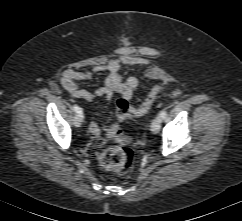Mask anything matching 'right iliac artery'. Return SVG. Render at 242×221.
<instances>
[{"mask_svg": "<svg viewBox=\"0 0 242 221\" xmlns=\"http://www.w3.org/2000/svg\"><path fill=\"white\" fill-rule=\"evenodd\" d=\"M73 110L77 113V114H79V116H81V118H83V113H82V109L79 107V106H77V105H73Z\"/></svg>", "mask_w": 242, "mask_h": 221, "instance_id": "right-iliac-artery-1", "label": "right iliac artery"}]
</instances>
